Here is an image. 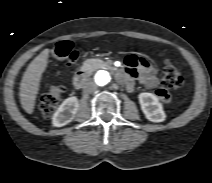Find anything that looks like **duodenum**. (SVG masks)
Instances as JSON below:
<instances>
[{
    "instance_id": "duodenum-1",
    "label": "duodenum",
    "mask_w": 212,
    "mask_h": 183,
    "mask_svg": "<svg viewBox=\"0 0 212 183\" xmlns=\"http://www.w3.org/2000/svg\"><path fill=\"white\" fill-rule=\"evenodd\" d=\"M89 76V69L87 67L81 68L74 76L73 83L76 88H82L86 79Z\"/></svg>"
}]
</instances>
